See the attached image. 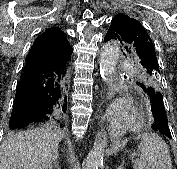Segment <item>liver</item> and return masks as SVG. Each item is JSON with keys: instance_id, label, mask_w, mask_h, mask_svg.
<instances>
[{"instance_id": "liver-1", "label": "liver", "mask_w": 177, "mask_h": 169, "mask_svg": "<svg viewBox=\"0 0 177 169\" xmlns=\"http://www.w3.org/2000/svg\"><path fill=\"white\" fill-rule=\"evenodd\" d=\"M62 138L48 127L11 135L2 145L0 169H47Z\"/></svg>"}]
</instances>
